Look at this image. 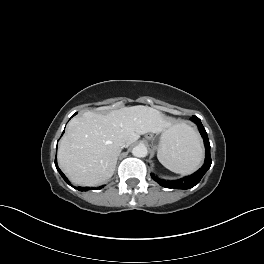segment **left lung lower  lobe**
Segmentation results:
<instances>
[{"label":"left lung lower lobe","instance_id":"obj_1","mask_svg":"<svg viewBox=\"0 0 264 264\" xmlns=\"http://www.w3.org/2000/svg\"><path fill=\"white\" fill-rule=\"evenodd\" d=\"M191 120L197 124L200 134L203 137L204 140V145L206 148V158H205V163L200 168L198 171H196L194 174L191 176L184 177L179 180H174V181H169V180H164L156 177L154 174H151L152 178L159 183L161 186L166 187V188H174V189H189L194 187L199 183L203 175L206 173V171L210 168L211 166V156H210V143L209 139L206 133L205 128L203 127L200 119L197 116H193Z\"/></svg>","mask_w":264,"mask_h":264}]
</instances>
